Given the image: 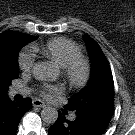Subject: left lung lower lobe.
Here are the masks:
<instances>
[{"label":"left lung lower lobe","instance_id":"obj_1","mask_svg":"<svg viewBox=\"0 0 135 135\" xmlns=\"http://www.w3.org/2000/svg\"><path fill=\"white\" fill-rule=\"evenodd\" d=\"M66 113L59 111L49 135H102L112 117L100 111L75 112L76 117L71 121L66 119Z\"/></svg>","mask_w":135,"mask_h":135}]
</instances>
